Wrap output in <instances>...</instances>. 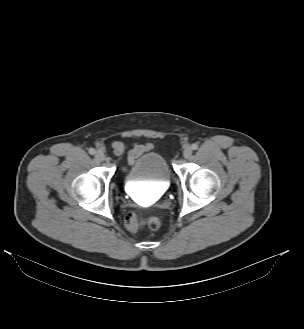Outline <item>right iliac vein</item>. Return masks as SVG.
<instances>
[{
    "instance_id": "right-iliac-vein-1",
    "label": "right iliac vein",
    "mask_w": 304,
    "mask_h": 329,
    "mask_svg": "<svg viewBox=\"0 0 304 329\" xmlns=\"http://www.w3.org/2000/svg\"><path fill=\"white\" fill-rule=\"evenodd\" d=\"M95 157L99 161H104L105 160V154L100 150L96 151Z\"/></svg>"
}]
</instances>
